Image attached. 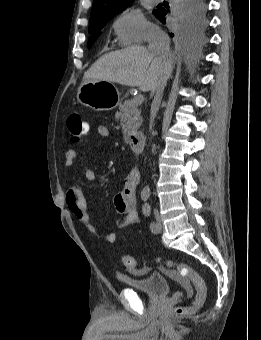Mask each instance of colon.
I'll list each match as a JSON object with an SVG mask.
<instances>
[{"label": "colon", "instance_id": "obj_1", "mask_svg": "<svg viewBox=\"0 0 261 340\" xmlns=\"http://www.w3.org/2000/svg\"><path fill=\"white\" fill-rule=\"evenodd\" d=\"M67 129L70 140L73 142H77L85 137V124L77 113L69 115L67 119ZM121 261L122 264L130 271H140L137 269V262L133 257L124 255L122 256ZM164 265L167 268L174 270L180 278H182L187 284L192 285L196 291V295L191 306L176 307L173 310V313L175 315L191 313L202 307L206 301L207 287L200 274L189 265L174 260H166L164 261Z\"/></svg>", "mask_w": 261, "mask_h": 340}]
</instances>
